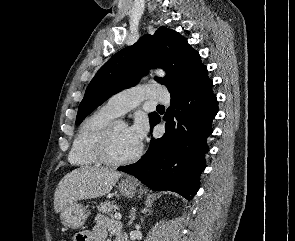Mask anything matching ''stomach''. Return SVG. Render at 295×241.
Returning a JSON list of instances; mask_svg holds the SVG:
<instances>
[{"mask_svg": "<svg viewBox=\"0 0 295 241\" xmlns=\"http://www.w3.org/2000/svg\"><path fill=\"white\" fill-rule=\"evenodd\" d=\"M119 190L121 194L127 198H132L137 193H141V189H138V184L135 180L127 179L122 180L119 183ZM62 223L72 229H78L82 227L87 219V213L85 208L74 202L67 205L60 214Z\"/></svg>", "mask_w": 295, "mask_h": 241, "instance_id": "stomach-1", "label": "stomach"}]
</instances>
